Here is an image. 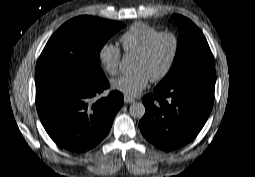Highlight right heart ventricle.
Instances as JSON below:
<instances>
[{
    "label": "right heart ventricle",
    "mask_w": 255,
    "mask_h": 177,
    "mask_svg": "<svg viewBox=\"0 0 255 177\" xmlns=\"http://www.w3.org/2000/svg\"><path fill=\"white\" fill-rule=\"evenodd\" d=\"M160 30L143 22H135L124 32L120 41L126 54L137 55Z\"/></svg>",
    "instance_id": "obj_1"
}]
</instances>
